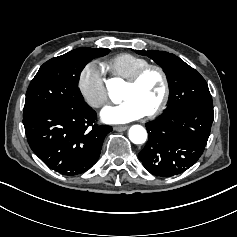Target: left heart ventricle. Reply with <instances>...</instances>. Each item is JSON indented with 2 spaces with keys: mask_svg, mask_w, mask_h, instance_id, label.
Segmentation results:
<instances>
[{
  "mask_svg": "<svg viewBox=\"0 0 237 237\" xmlns=\"http://www.w3.org/2000/svg\"><path fill=\"white\" fill-rule=\"evenodd\" d=\"M163 94V80L156 70H149L137 84L126 83L121 89V99L132 101L145 114L159 104Z\"/></svg>",
  "mask_w": 237,
  "mask_h": 237,
  "instance_id": "b2bd125f",
  "label": "left heart ventricle"
}]
</instances>
